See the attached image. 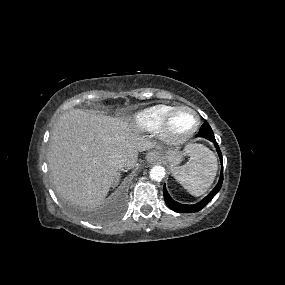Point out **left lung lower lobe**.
<instances>
[{
	"instance_id": "1",
	"label": "left lung lower lobe",
	"mask_w": 285,
	"mask_h": 285,
	"mask_svg": "<svg viewBox=\"0 0 285 285\" xmlns=\"http://www.w3.org/2000/svg\"><path fill=\"white\" fill-rule=\"evenodd\" d=\"M198 136L206 138V139L215 143L214 133H213L211 127L207 123H205L201 126L200 131L198 133ZM215 146L217 148V152H218V155L220 157L221 164H222L220 179H219L216 187L210 192V194L208 196H206L199 203L194 204V205H185V204H180V203L174 201L169 196V194L167 193L166 187L164 185V187H163L164 199H165V202L169 208H171L172 210H174L176 212H197V211L201 210L202 208H204L206 206V204H208L212 200V198L218 193V191L221 188L222 182H223V161H222V155H221V151L219 149V146L217 144H215Z\"/></svg>"
}]
</instances>
